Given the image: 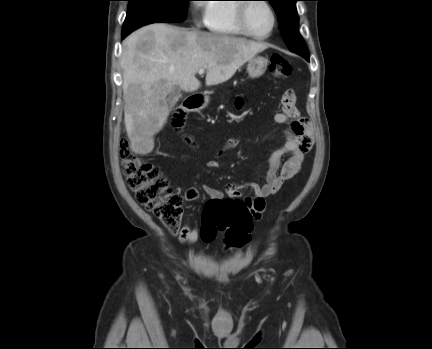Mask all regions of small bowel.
<instances>
[{
  "mask_svg": "<svg viewBox=\"0 0 432 349\" xmlns=\"http://www.w3.org/2000/svg\"><path fill=\"white\" fill-rule=\"evenodd\" d=\"M243 106L241 97L236 100V107ZM274 121L279 124L288 125L285 130V142L268 157V169L266 182L263 185L247 183L245 185L227 184L224 191L204 186V192L214 201H221L225 198L244 200L250 207L253 219L259 220L265 210V199L282 187L283 183L293 178L300 170L305 155L311 150L314 144L313 127L309 119L301 117L295 106V96L292 90L285 92L282 98V111L275 114ZM239 144L238 138L229 139L216 155L207 162V167L216 169L220 166V158L228 151ZM285 154L290 157L282 163ZM248 186L253 190L251 197H242L241 189ZM199 198V190L190 187L185 194L187 202H193ZM199 230L189 223L185 224L179 232V241L189 245L197 241Z\"/></svg>",
  "mask_w": 432,
  "mask_h": 349,
  "instance_id": "1",
  "label": "small bowel"
}]
</instances>
